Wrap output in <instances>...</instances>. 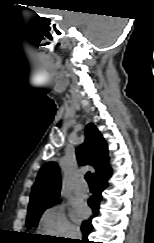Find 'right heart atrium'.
Listing matches in <instances>:
<instances>
[{
    "label": "right heart atrium",
    "instance_id": "right-heart-atrium-1",
    "mask_svg": "<svg viewBox=\"0 0 154 243\" xmlns=\"http://www.w3.org/2000/svg\"><path fill=\"white\" fill-rule=\"evenodd\" d=\"M42 232L55 236H73L77 233L76 227L68 220L61 205H55L44 211L40 218Z\"/></svg>",
    "mask_w": 154,
    "mask_h": 243
}]
</instances>
